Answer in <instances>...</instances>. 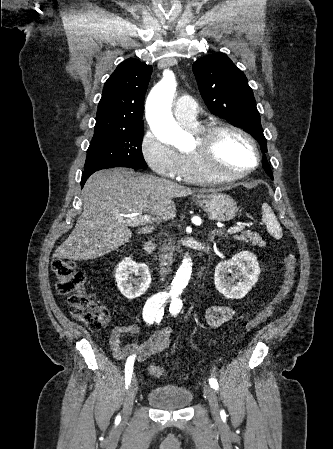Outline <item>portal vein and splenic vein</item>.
Here are the masks:
<instances>
[{"label": "portal vein and splenic vein", "instance_id": "18ae733b", "mask_svg": "<svg viewBox=\"0 0 333 449\" xmlns=\"http://www.w3.org/2000/svg\"><path fill=\"white\" fill-rule=\"evenodd\" d=\"M125 218H131L134 226L143 225L145 223L155 222L154 218H151L149 215H142L139 213L136 214H125L122 215ZM242 230V226H233L228 229V234H233Z\"/></svg>", "mask_w": 333, "mask_h": 449}]
</instances>
